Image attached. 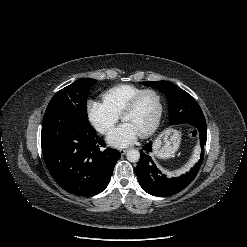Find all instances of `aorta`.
<instances>
[{"label":"aorta","mask_w":247,"mask_h":247,"mask_svg":"<svg viewBox=\"0 0 247 247\" xmlns=\"http://www.w3.org/2000/svg\"><path fill=\"white\" fill-rule=\"evenodd\" d=\"M127 160L134 163L137 162L140 158V153L138 150L131 149L126 154Z\"/></svg>","instance_id":"762f6f07"}]
</instances>
